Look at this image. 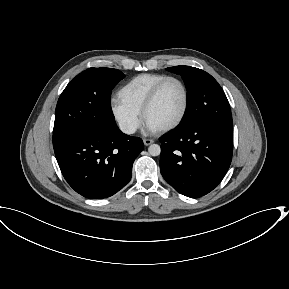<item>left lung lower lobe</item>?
Masks as SVG:
<instances>
[{
    "label": "left lung lower lobe",
    "instance_id": "left-lung-lower-lobe-1",
    "mask_svg": "<svg viewBox=\"0 0 289 289\" xmlns=\"http://www.w3.org/2000/svg\"><path fill=\"white\" fill-rule=\"evenodd\" d=\"M160 142L162 176L176 191L191 198L216 188L232 160L233 130L227 125L192 123L177 127Z\"/></svg>",
    "mask_w": 289,
    "mask_h": 289
}]
</instances>
